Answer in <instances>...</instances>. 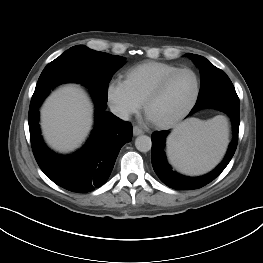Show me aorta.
Returning a JSON list of instances; mask_svg holds the SVG:
<instances>
[{"mask_svg": "<svg viewBox=\"0 0 263 263\" xmlns=\"http://www.w3.org/2000/svg\"><path fill=\"white\" fill-rule=\"evenodd\" d=\"M135 147L140 152H148L152 147L151 138L147 135L138 136L135 140Z\"/></svg>", "mask_w": 263, "mask_h": 263, "instance_id": "1", "label": "aorta"}]
</instances>
